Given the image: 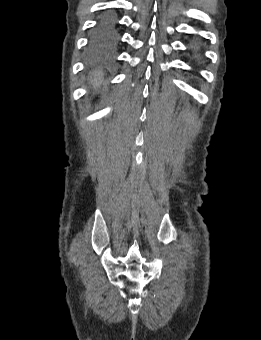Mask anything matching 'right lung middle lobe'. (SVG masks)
<instances>
[{
	"label": "right lung middle lobe",
	"instance_id": "obj_1",
	"mask_svg": "<svg viewBox=\"0 0 261 340\" xmlns=\"http://www.w3.org/2000/svg\"><path fill=\"white\" fill-rule=\"evenodd\" d=\"M116 37V19L113 14L107 13L101 17L94 28L91 41L93 44L109 42Z\"/></svg>",
	"mask_w": 261,
	"mask_h": 340
}]
</instances>
